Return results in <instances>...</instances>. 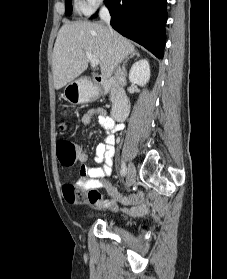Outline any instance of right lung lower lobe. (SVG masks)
Returning <instances> with one entry per match:
<instances>
[{
	"mask_svg": "<svg viewBox=\"0 0 227 279\" xmlns=\"http://www.w3.org/2000/svg\"><path fill=\"white\" fill-rule=\"evenodd\" d=\"M111 25L162 59L165 46L167 0H105ZM94 14L92 17H96Z\"/></svg>",
	"mask_w": 227,
	"mask_h": 279,
	"instance_id": "obj_1",
	"label": "right lung lower lobe"
}]
</instances>
